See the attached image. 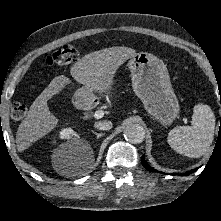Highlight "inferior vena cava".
<instances>
[{
	"label": "inferior vena cava",
	"instance_id": "obj_1",
	"mask_svg": "<svg viewBox=\"0 0 221 221\" xmlns=\"http://www.w3.org/2000/svg\"><path fill=\"white\" fill-rule=\"evenodd\" d=\"M94 127L99 130H110L112 128V122L109 120L99 121L94 124Z\"/></svg>",
	"mask_w": 221,
	"mask_h": 221
}]
</instances>
